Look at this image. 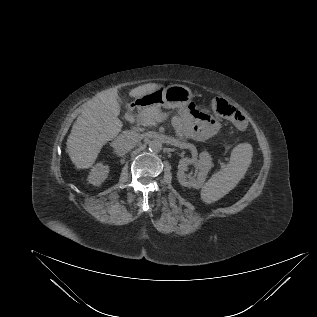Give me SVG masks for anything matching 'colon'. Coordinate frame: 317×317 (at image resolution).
<instances>
[{
	"label": "colon",
	"mask_w": 317,
	"mask_h": 317,
	"mask_svg": "<svg viewBox=\"0 0 317 317\" xmlns=\"http://www.w3.org/2000/svg\"><path fill=\"white\" fill-rule=\"evenodd\" d=\"M213 111L232 121L238 129L246 128L247 122L243 114L222 98H214L211 102Z\"/></svg>",
	"instance_id": "1"
}]
</instances>
